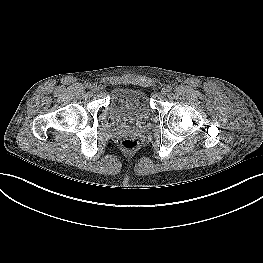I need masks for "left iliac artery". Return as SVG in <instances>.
<instances>
[{"label":"left iliac artery","instance_id":"44dca946","mask_svg":"<svg viewBox=\"0 0 263 263\" xmlns=\"http://www.w3.org/2000/svg\"><path fill=\"white\" fill-rule=\"evenodd\" d=\"M166 88H167L168 92H170L172 90V86H170V85H168Z\"/></svg>","mask_w":263,"mask_h":263}]
</instances>
